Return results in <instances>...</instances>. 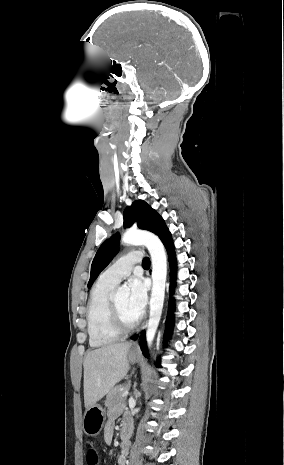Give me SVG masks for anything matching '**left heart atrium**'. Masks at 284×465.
I'll return each mask as SVG.
<instances>
[{
	"mask_svg": "<svg viewBox=\"0 0 284 465\" xmlns=\"http://www.w3.org/2000/svg\"><path fill=\"white\" fill-rule=\"evenodd\" d=\"M129 285L128 307L136 317H140L147 304L146 286L140 278L131 279Z\"/></svg>",
	"mask_w": 284,
	"mask_h": 465,
	"instance_id": "1",
	"label": "left heart atrium"
}]
</instances>
